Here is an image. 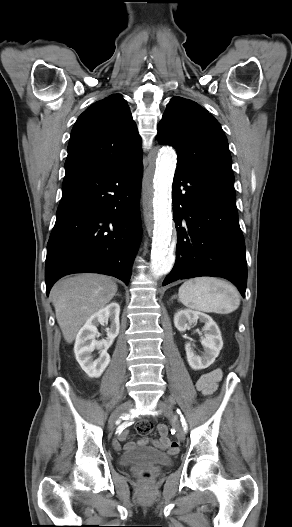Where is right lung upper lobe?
Returning a JSON list of instances; mask_svg holds the SVG:
<instances>
[{
    "label": "right lung upper lobe",
    "instance_id": "obj_1",
    "mask_svg": "<svg viewBox=\"0 0 292 527\" xmlns=\"http://www.w3.org/2000/svg\"><path fill=\"white\" fill-rule=\"evenodd\" d=\"M143 155L141 138L120 94L97 101L77 119L68 145L66 173L106 170Z\"/></svg>",
    "mask_w": 292,
    "mask_h": 527
}]
</instances>
